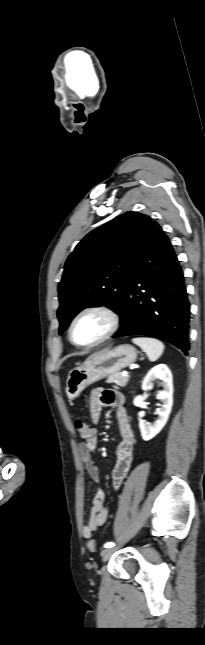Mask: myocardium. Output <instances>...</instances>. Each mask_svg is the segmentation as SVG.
Masks as SVG:
<instances>
[{
  "label": "myocardium",
  "mask_w": 205,
  "mask_h": 645,
  "mask_svg": "<svg viewBox=\"0 0 205 645\" xmlns=\"http://www.w3.org/2000/svg\"><path fill=\"white\" fill-rule=\"evenodd\" d=\"M90 313H96L102 315L106 321H107V329L106 331L100 336L98 339H96L93 342L90 343H79L74 339L73 336V330L74 326L77 323V321L84 315L90 314ZM120 326V316L118 313L113 310L112 308L105 306V305H89L81 309L71 320L69 329H68V336L70 341L79 347L83 348H91L95 347L106 340H108L110 337H112L116 331L118 330Z\"/></svg>",
  "instance_id": "myocardium-1"
}]
</instances>
